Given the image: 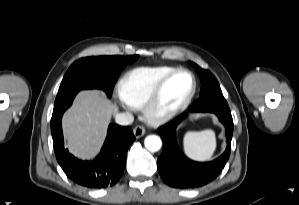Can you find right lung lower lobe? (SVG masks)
<instances>
[{
	"label": "right lung lower lobe",
	"mask_w": 299,
	"mask_h": 205,
	"mask_svg": "<svg viewBox=\"0 0 299 205\" xmlns=\"http://www.w3.org/2000/svg\"><path fill=\"white\" fill-rule=\"evenodd\" d=\"M71 104L72 101L53 111L51 118L53 145L58 163L65 174L79 185L91 189L113 186L123 174L127 149L135 140L131 128L110 124L105 143L96 159L79 160L64 149L61 119Z\"/></svg>",
	"instance_id": "1"
}]
</instances>
